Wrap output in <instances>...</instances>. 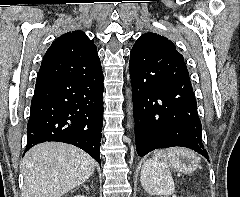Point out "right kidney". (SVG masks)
<instances>
[{
    "instance_id": "1",
    "label": "right kidney",
    "mask_w": 240,
    "mask_h": 197,
    "mask_svg": "<svg viewBox=\"0 0 240 197\" xmlns=\"http://www.w3.org/2000/svg\"><path fill=\"white\" fill-rule=\"evenodd\" d=\"M74 197H86V196H84V195H76Z\"/></svg>"
}]
</instances>
